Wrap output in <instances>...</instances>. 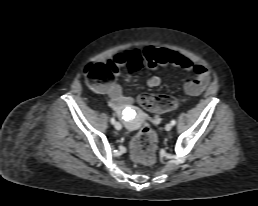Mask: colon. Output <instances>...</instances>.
<instances>
[{
  "label": "colon",
  "instance_id": "5ec220e1",
  "mask_svg": "<svg viewBox=\"0 0 258 206\" xmlns=\"http://www.w3.org/2000/svg\"><path fill=\"white\" fill-rule=\"evenodd\" d=\"M142 59L135 55L129 63L133 71L140 69ZM86 80L93 86L108 84L113 75L108 65L90 64L85 68ZM142 107L154 112H167L172 110L176 102L172 97L143 93L138 98ZM157 135L148 126H143L131 142V157L134 162L142 165H151L156 159Z\"/></svg>",
  "mask_w": 258,
  "mask_h": 206
}]
</instances>
